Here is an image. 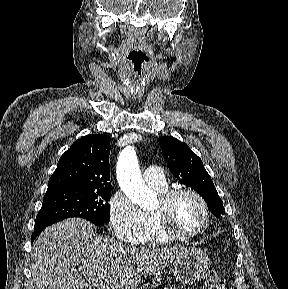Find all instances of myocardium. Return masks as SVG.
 <instances>
[{"mask_svg": "<svg viewBox=\"0 0 288 289\" xmlns=\"http://www.w3.org/2000/svg\"><path fill=\"white\" fill-rule=\"evenodd\" d=\"M183 195L195 198L203 211V223L195 231L183 233L173 227L171 208L175 200ZM160 230L173 240H190L201 236L210 226V210L205 199L197 191L191 188H175L160 194V208L153 213Z\"/></svg>", "mask_w": 288, "mask_h": 289, "instance_id": "myocardium-1", "label": "myocardium"}]
</instances>
